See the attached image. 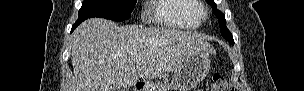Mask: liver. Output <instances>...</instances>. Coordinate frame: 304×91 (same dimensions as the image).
Instances as JSON below:
<instances>
[{
    "label": "liver",
    "instance_id": "6515ba94",
    "mask_svg": "<svg viewBox=\"0 0 304 91\" xmlns=\"http://www.w3.org/2000/svg\"><path fill=\"white\" fill-rule=\"evenodd\" d=\"M74 76L69 91H127L138 78L166 76L194 51L215 53L196 32L84 21L71 36ZM140 57L135 62V57Z\"/></svg>",
    "mask_w": 304,
    "mask_h": 91
}]
</instances>
